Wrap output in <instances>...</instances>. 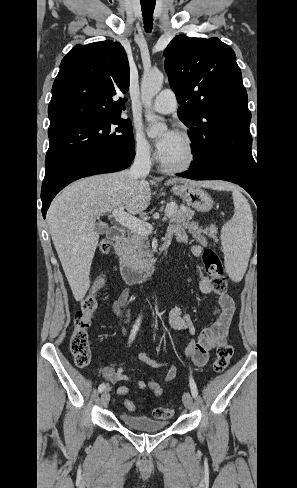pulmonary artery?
<instances>
[{"label":"pulmonary artery","mask_w":297,"mask_h":488,"mask_svg":"<svg viewBox=\"0 0 297 488\" xmlns=\"http://www.w3.org/2000/svg\"><path fill=\"white\" fill-rule=\"evenodd\" d=\"M151 108L161 114H168L176 110L177 101L171 89L163 90L154 100Z\"/></svg>","instance_id":"obj_1"}]
</instances>
